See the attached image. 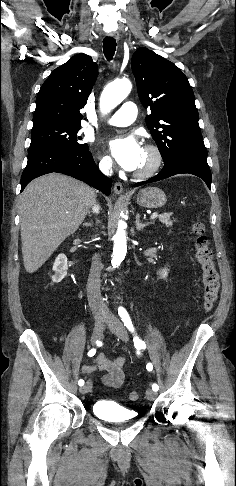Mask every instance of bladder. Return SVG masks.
<instances>
[{"label": "bladder", "mask_w": 236, "mask_h": 486, "mask_svg": "<svg viewBox=\"0 0 236 486\" xmlns=\"http://www.w3.org/2000/svg\"><path fill=\"white\" fill-rule=\"evenodd\" d=\"M92 411L97 418L111 423H128L137 419L135 411L107 400L95 402Z\"/></svg>", "instance_id": "bladder-1"}]
</instances>
